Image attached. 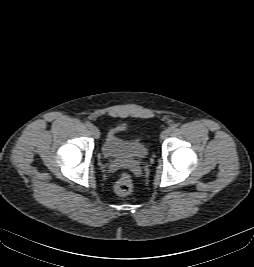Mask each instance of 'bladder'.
Listing matches in <instances>:
<instances>
[{
    "mask_svg": "<svg viewBox=\"0 0 254 267\" xmlns=\"http://www.w3.org/2000/svg\"><path fill=\"white\" fill-rule=\"evenodd\" d=\"M123 125L109 130L102 145V154L107 159L131 160L143 159L147 155V147L140 139H125L121 133Z\"/></svg>",
    "mask_w": 254,
    "mask_h": 267,
    "instance_id": "obj_1",
    "label": "bladder"
}]
</instances>
